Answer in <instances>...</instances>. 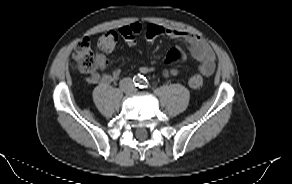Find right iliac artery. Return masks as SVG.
<instances>
[{
    "label": "right iliac artery",
    "mask_w": 292,
    "mask_h": 184,
    "mask_svg": "<svg viewBox=\"0 0 292 184\" xmlns=\"http://www.w3.org/2000/svg\"><path fill=\"white\" fill-rule=\"evenodd\" d=\"M140 84H141L140 78L139 77H136L135 78V86H140Z\"/></svg>",
    "instance_id": "obj_1"
}]
</instances>
